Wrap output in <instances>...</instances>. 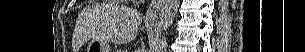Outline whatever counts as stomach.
<instances>
[{"instance_id":"0dacf381","label":"stomach","mask_w":305,"mask_h":52,"mask_svg":"<svg viewBox=\"0 0 305 52\" xmlns=\"http://www.w3.org/2000/svg\"><path fill=\"white\" fill-rule=\"evenodd\" d=\"M86 52H111L108 42L91 39L87 43Z\"/></svg>"}]
</instances>
